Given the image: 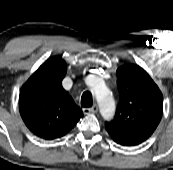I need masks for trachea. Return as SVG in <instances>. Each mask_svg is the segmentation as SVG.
<instances>
[{"mask_svg":"<svg viewBox=\"0 0 173 170\" xmlns=\"http://www.w3.org/2000/svg\"><path fill=\"white\" fill-rule=\"evenodd\" d=\"M92 95L89 91H85L81 97V106L85 108L92 107Z\"/></svg>","mask_w":173,"mask_h":170,"instance_id":"obj_1","label":"trachea"}]
</instances>
